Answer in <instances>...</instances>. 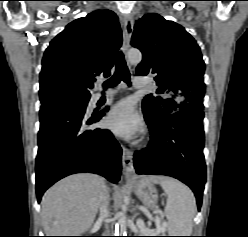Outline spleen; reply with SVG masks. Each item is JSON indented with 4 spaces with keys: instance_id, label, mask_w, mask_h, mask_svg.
<instances>
[{
    "instance_id": "spleen-1",
    "label": "spleen",
    "mask_w": 248,
    "mask_h": 237,
    "mask_svg": "<svg viewBox=\"0 0 248 237\" xmlns=\"http://www.w3.org/2000/svg\"><path fill=\"white\" fill-rule=\"evenodd\" d=\"M160 184L167 196L165 216L169 236H190L196 212L193 193L173 178H163Z\"/></svg>"
}]
</instances>
